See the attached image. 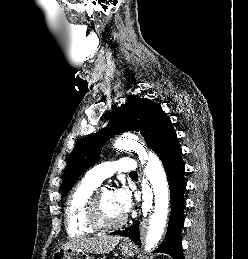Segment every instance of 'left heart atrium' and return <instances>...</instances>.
<instances>
[{"instance_id":"left-heart-atrium-1","label":"left heart atrium","mask_w":248,"mask_h":259,"mask_svg":"<svg viewBox=\"0 0 248 259\" xmlns=\"http://www.w3.org/2000/svg\"><path fill=\"white\" fill-rule=\"evenodd\" d=\"M113 197L119 210L123 215H126L131 209V196L129 191L125 188H119L113 192Z\"/></svg>"}]
</instances>
